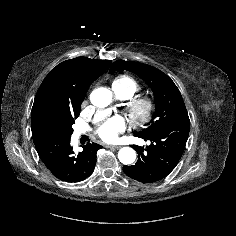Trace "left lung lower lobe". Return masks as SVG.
<instances>
[{
  "label": "left lung lower lobe",
  "mask_w": 236,
  "mask_h": 236,
  "mask_svg": "<svg viewBox=\"0 0 236 236\" xmlns=\"http://www.w3.org/2000/svg\"><path fill=\"white\" fill-rule=\"evenodd\" d=\"M190 121L169 125L156 133L137 136L149 140L146 149L133 145L139 158L135 165L123 166L124 173L143 183H154L164 179L178 164L188 139Z\"/></svg>",
  "instance_id": "left-lung-lower-lobe-1"
}]
</instances>
